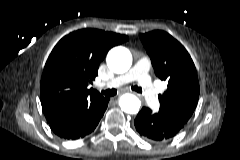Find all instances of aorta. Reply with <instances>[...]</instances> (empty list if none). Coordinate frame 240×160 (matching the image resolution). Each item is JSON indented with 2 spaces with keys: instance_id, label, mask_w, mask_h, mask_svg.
<instances>
[{
  "instance_id": "1",
  "label": "aorta",
  "mask_w": 240,
  "mask_h": 160,
  "mask_svg": "<svg viewBox=\"0 0 240 160\" xmlns=\"http://www.w3.org/2000/svg\"><path fill=\"white\" fill-rule=\"evenodd\" d=\"M108 68L117 74L127 72L132 65V55L130 51L125 47L112 48L106 58ZM119 105L122 111L128 114L138 113L141 102L133 94H124L119 100Z\"/></svg>"
}]
</instances>
